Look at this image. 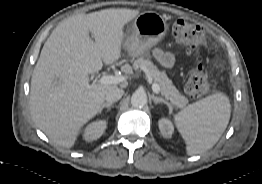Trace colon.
I'll list each match as a JSON object with an SVG mask.
<instances>
[{"label": "colon", "mask_w": 262, "mask_h": 184, "mask_svg": "<svg viewBox=\"0 0 262 184\" xmlns=\"http://www.w3.org/2000/svg\"><path fill=\"white\" fill-rule=\"evenodd\" d=\"M176 42L188 53L198 52L205 44V33L199 25L179 19L173 25ZM185 89L192 98H200L209 91V81L202 60L190 71Z\"/></svg>", "instance_id": "5ec220e1"}]
</instances>
